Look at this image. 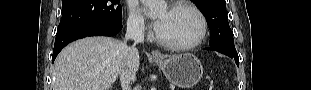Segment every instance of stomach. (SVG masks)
Segmentation results:
<instances>
[{
	"label": "stomach",
	"mask_w": 311,
	"mask_h": 90,
	"mask_svg": "<svg viewBox=\"0 0 311 90\" xmlns=\"http://www.w3.org/2000/svg\"><path fill=\"white\" fill-rule=\"evenodd\" d=\"M154 62L160 67L168 81L180 88L194 86L203 75L201 62L189 53L154 58Z\"/></svg>",
	"instance_id": "0dacf381"
}]
</instances>
